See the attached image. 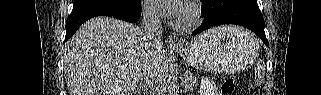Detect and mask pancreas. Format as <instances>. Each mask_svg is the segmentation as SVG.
Wrapping results in <instances>:
<instances>
[{
    "label": "pancreas",
    "instance_id": "pancreas-1",
    "mask_svg": "<svg viewBox=\"0 0 321 95\" xmlns=\"http://www.w3.org/2000/svg\"><path fill=\"white\" fill-rule=\"evenodd\" d=\"M182 84L188 91H193L194 88L197 86V79L191 73H186L183 76Z\"/></svg>",
    "mask_w": 321,
    "mask_h": 95
}]
</instances>
